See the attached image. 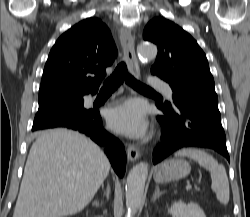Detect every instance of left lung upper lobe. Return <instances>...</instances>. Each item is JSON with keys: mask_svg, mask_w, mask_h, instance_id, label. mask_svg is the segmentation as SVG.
Returning a JSON list of instances; mask_svg holds the SVG:
<instances>
[{"mask_svg": "<svg viewBox=\"0 0 250 217\" xmlns=\"http://www.w3.org/2000/svg\"><path fill=\"white\" fill-rule=\"evenodd\" d=\"M143 38L158 46L151 73L169 83L174 104L176 94L216 95L206 55L189 33L164 17H156L146 25ZM164 105L172 107L168 102Z\"/></svg>", "mask_w": 250, "mask_h": 217, "instance_id": "left-lung-upper-lobe-1", "label": "left lung upper lobe"}]
</instances>
